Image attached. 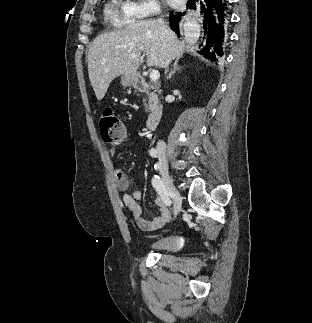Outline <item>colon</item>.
Here are the masks:
<instances>
[{
    "mask_svg": "<svg viewBox=\"0 0 312 323\" xmlns=\"http://www.w3.org/2000/svg\"><path fill=\"white\" fill-rule=\"evenodd\" d=\"M100 130L102 138L107 143L120 141L126 135L125 124L111 111H106L102 114Z\"/></svg>",
    "mask_w": 312,
    "mask_h": 323,
    "instance_id": "1",
    "label": "colon"
}]
</instances>
